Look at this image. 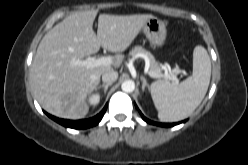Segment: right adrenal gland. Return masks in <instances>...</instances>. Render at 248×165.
Returning a JSON list of instances; mask_svg holds the SVG:
<instances>
[{
    "label": "right adrenal gland",
    "mask_w": 248,
    "mask_h": 165,
    "mask_svg": "<svg viewBox=\"0 0 248 165\" xmlns=\"http://www.w3.org/2000/svg\"><path fill=\"white\" fill-rule=\"evenodd\" d=\"M112 84L111 83H108V84H102V85H99L96 87V89H100V88H104V94H106L107 90H108V87L111 86Z\"/></svg>",
    "instance_id": "right-adrenal-gland-1"
}]
</instances>
